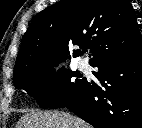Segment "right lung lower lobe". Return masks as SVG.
Wrapping results in <instances>:
<instances>
[{
	"label": "right lung lower lobe",
	"instance_id": "obj_1",
	"mask_svg": "<svg viewBox=\"0 0 142 128\" xmlns=\"http://www.w3.org/2000/svg\"><path fill=\"white\" fill-rule=\"evenodd\" d=\"M94 76L66 105L96 128H142V46L102 61Z\"/></svg>",
	"mask_w": 142,
	"mask_h": 128
}]
</instances>
